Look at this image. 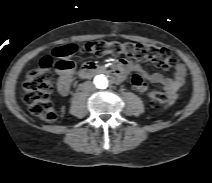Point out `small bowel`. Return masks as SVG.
Returning a JSON list of instances; mask_svg holds the SVG:
<instances>
[{"label": "small bowel", "instance_id": "small-bowel-1", "mask_svg": "<svg viewBox=\"0 0 212 183\" xmlns=\"http://www.w3.org/2000/svg\"><path fill=\"white\" fill-rule=\"evenodd\" d=\"M118 70H120L123 74L134 72L131 82L134 88L140 92H145L148 89V85L145 80L154 84H159L168 96V105L174 102L177 98L184 85L186 76V69L182 64H178L175 68L173 77L168 78L159 72L149 73L144 69L141 62H131L126 59L121 60L118 63ZM57 73V92L62 96H66L71 90L73 74H67L58 68Z\"/></svg>", "mask_w": 212, "mask_h": 183}]
</instances>
